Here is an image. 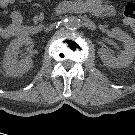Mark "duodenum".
Listing matches in <instances>:
<instances>
[{
	"mask_svg": "<svg viewBox=\"0 0 135 135\" xmlns=\"http://www.w3.org/2000/svg\"><path fill=\"white\" fill-rule=\"evenodd\" d=\"M28 31L29 32H33V29L32 28H30V29H28ZM24 32H27V30L24 28ZM38 33L40 32V30L39 31H37Z\"/></svg>",
	"mask_w": 135,
	"mask_h": 135,
	"instance_id": "410a0bca",
	"label": "duodenum"
}]
</instances>
